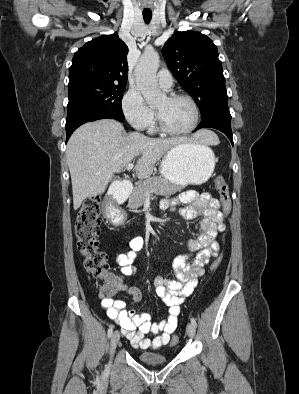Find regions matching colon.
Returning a JSON list of instances; mask_svg holds the SVG:
<instances>
[{
    "instance_id": "1",
    "label": "colon",
    "mask_w": 299,
    "mask_h": 394,
    "mask_svg": "<svg viewBox=\"0 0 299 394\" xmlns=\"http://www.w3.org/2000/svg\"><path fill=\"white\" fill-rule=\"evenodd\" d=\"M215 187L220 197L221 211L227 216L231 211V199L229 186L224 177H216ZM101 202L99 195L86 200L77 214L75 232L77 248L83 256L84 269L101 282L99 296L108 300L113 299L120 291L121 281L111 272L106 254L98 248ZM220 262L221 258L216 257L211 265V271H216ZM177 342L178 337H172L171 344L175 345Z\"/></svg>"
}]
</instances>
